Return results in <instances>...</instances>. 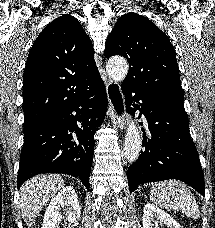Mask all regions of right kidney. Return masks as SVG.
Wrapping results in <instances>:
<instances>
[{
  "label": "right kidney",
  "instance_id": "ca27d5eb",
  "mask_svg": "<svg viewBox=\"0 0 215 228\" xmlns=\"http://www.w3.org/2000/svg\"><path fill=\"white\" fill-rule=\"evenodd\" d=\"M66 212L65 218L68 224H73L80 218V206L75 190L71 186L62 188L55 198H52L43 218L42 228H58L62 222L60 212Z\"/></svg>",
  "mask_w": 215,
  "mask_h": 228
}]
</instances>
